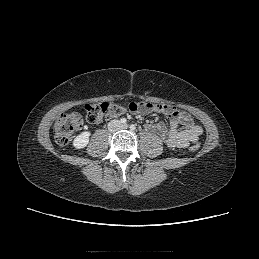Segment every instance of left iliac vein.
Listing matches in <instances>:
<instances>
[{
	"label": "left iliac vein",
	"instance_id": "1",
	"mask_svg": "<svg viewBox=\"0 0 259 259\" xmlns=\"http://www.w3.org/2000/svg\"><path fill=\"white\" fill-rule=\"evenodd\" d=\"M122 129H127L128 128V125L127 124H124L121 126Z\"/></svg>",
	"mask_w": 259,
	"mask_h": 259
}]
</instances>
